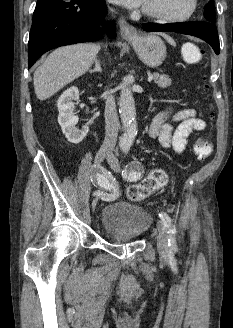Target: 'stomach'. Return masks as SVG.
Returning a JSON list of instances; mask_svg holds the SVG:
<instances>
[{"label":"stomach","instance_id":"1","mask_svg":"<svg viewBox=\"0 0 233 328\" xmlns=\"http://www.w3.org/2000/svg\"><path fill=\"white\" fill-rule=\"evenodd\" d=\"M128 41L133 46L139 58L150 67H158L166 57V46L155 34H143Z\"/></svg>","mask_w":233,"mask_h":328}]
</instances>
